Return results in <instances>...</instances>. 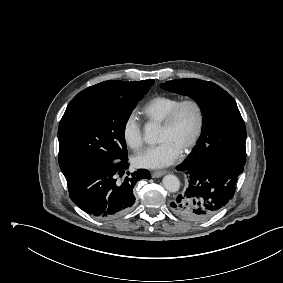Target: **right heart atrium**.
I'll return each instance as SVG.
<instances>
[{
	"label": "right heart atrium",
	"instance_id": "1",
	"mask_svg": "<svg viewBox=\"0 0 283 283\" xmlns=\"http://www.w3.org/2000/svg\"><path fill=\"white\" fill-rule=\"evenodd\" d=\"M122 137L126 145L132 149H137L142 145V125L134 113L129 114L124 120L122 126Z\"/></svg>",
	"mask_w": 283,
	"mask_h": 283
}]
</instances>
